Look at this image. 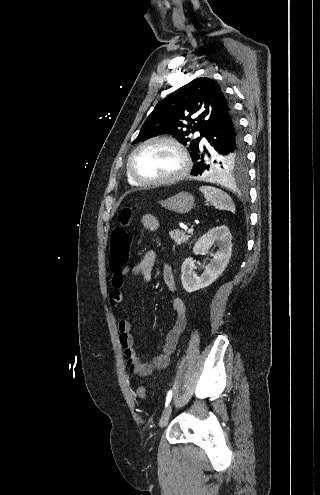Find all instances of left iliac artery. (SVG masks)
<instances>
[{"instance_id":"1","label":"left iliac artery","mask_w":320,"mask_h":495,"mask_svg":"<svg viewBox=\"0 0 320 495\" xmlns=\"http://www.w3.org/2000/svg\"><path fill=\"white\" fill-rule=\"evenodd\" d=\"M171 399H172V390H170V391L168 392V394H167V397H166V403H165V407H167V406H168V404L170 403Z\"/></svg>"}]
</instances>
